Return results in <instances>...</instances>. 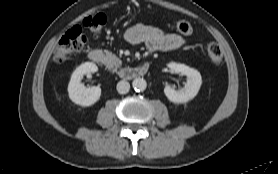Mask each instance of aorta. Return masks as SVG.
I'll use <instances>...</instances> for the list:
<instances>
[{
    "label": "aorta",
    "mask_w": 278,
    "mask_h": 174,
    "mask_svg": "<svg viewBox=\"0 0 278 174\" xmlns=\"http://www.w3.org/2000/svg\"><path fill=\"white\" fill-rule=\"evenodd\" d=\"M132 86L136 91H143L146 89L147 83L143 78H136L133 80Z\"/></svg>",
    "instance_id": "1"
}]
</instances>
